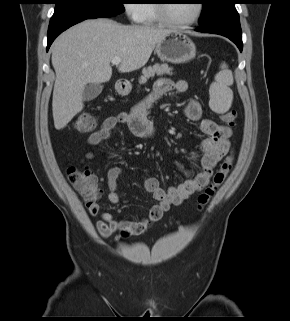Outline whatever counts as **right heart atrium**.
I'll return each instance as SVG.
<instances>
[{"instance_id": "1", "label": "right heart atrium", "mask_w": 290, "mask_h": 321, "mask_svg": "<svg viewBox=\"0 0 290 321\" xmlns=\"http://www.w3.org/2000/svg\"><path fill=\"white\" fill-rule=\"evenodd\" d=\"M124 10L128 18L132 21H138L140 18L139 5L134 3V0H126Z\"/></svg>"}]
</instances>
